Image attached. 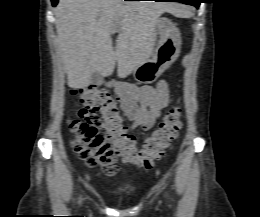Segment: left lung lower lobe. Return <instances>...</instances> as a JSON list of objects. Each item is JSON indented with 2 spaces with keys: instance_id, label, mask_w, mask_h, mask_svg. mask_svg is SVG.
<instances>
[{
  "instance_id": "left-lung-lower-lobe-1",
  "label": "left lung lower lobe",
  "mask_w": 260,
  "mask_h": 217,
  "mask_svg": "<svg viewBox=\"0 0 260 217\" xmlns=\"http://www.w3.org/2000/svg\"><path fill=\"white\" fill-rule=\"evenodd\" d=\"M155 1L181 2V3L195 6L196 8H198L201 3V0H155Z\"/></svg>"
}]
</instances>
